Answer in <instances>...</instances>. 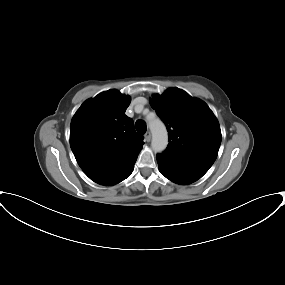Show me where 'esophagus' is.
<instances>
[{"instance_id": "esophagus-1", "label": "esophagus", "mask_w": 285, "mask_h": 285, "mask_svg": "<svg viewBox=\"0 0 285 285\" xmlns=\"http://www.w3.org/2000/svg\"><path fill=\"white\" fill-rule=\"evenodd\" d=\"M144 136H145V140L147 142H149L151 140V133H150V131H147Z\"/></svg>"}]
</instances>
